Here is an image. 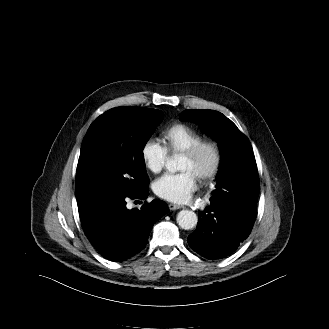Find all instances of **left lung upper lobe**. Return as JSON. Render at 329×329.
<instances>
[{"instance_id": "left-lung-upper-lobe-1", "label": "left lung upper lobe", "mask_w": 329, "mask_h": 329, "mask_svg": "<svg viewBox=\"0 0 329 329\" xmlns=\"http://www.w3.org/2000/svg\"><path fill=\"white\" fill-rule=\"evenodd\" d=\"M181 121L198 123L221 147V164L216 189L210 200L226 198L231 186L242 180L256 167L254 153L246 136L222 113L214 110L190 109L180 113Z\"/></svg>"}]
</instances>
